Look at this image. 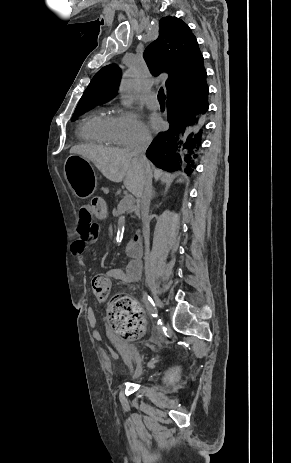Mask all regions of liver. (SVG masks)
<instances>
[{
	"label": "liver",
	"instance_id": "obj_1",
	"mask_svg": "<svg viewBox=\"0 0 291 463\" xmlns=\"http://www.w3.org/2000/svg\"><path fill=\"white\" fill-rule=\"evenodd\" d=\"M70 153L92 161L107 179L123 181L128 191L137 198L141 196L145 170L127 149L83 144L72 147Z\"/></svg>",
	"mask_w": 291,
	"mask_h": 463
}]
</instances>
